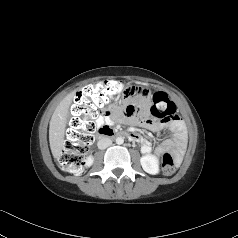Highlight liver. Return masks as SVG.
<instances>
[{"label": "liver", "instance_id": "1", "mask_svg": "<svg viewBox=\"0 0 238 238\" xmlns=\"http://www.w3.org/2000/svg\"><path fill=\"white\" fill-rule=\"evenodd\" d=\"M75 97V91L69 93L56 107L49 125V143L54 158L59 159L64 147L66 122L69 113V107Z\"/></svg>", "mask_w": 238, "mask_h": 238}]
</instances>
